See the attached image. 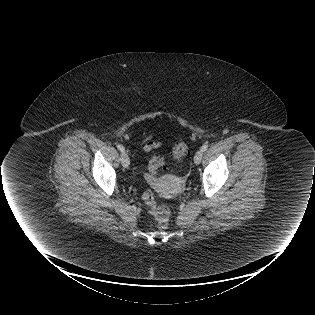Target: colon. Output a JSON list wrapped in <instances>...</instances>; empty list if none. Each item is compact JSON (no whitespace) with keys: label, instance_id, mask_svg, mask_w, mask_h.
<instances>
[{"label":"colon","instance_id":"obj_1","mask_svg":"<svg viewBox=\"0 0 315 315\" xmlns=\"http://www.w3.org/2000/svg\"><path fill=\"white\" fill-rule=\"evenodd\" d=\"M188 153V146L185 142H177L172 148V158L178 160L186 156ZM166 166V161L163 158L155 157L150 160L148 169L151 174H156L158 171ZM152 180V177H149ZM143 201L147 205L150 214L154 217L157 226L165 229L169 224L170 210L166 206H157L155 196L151 191H146L143 194Z\"/></svg>","mask_w":315,"mask_h":315}]
</instances>
